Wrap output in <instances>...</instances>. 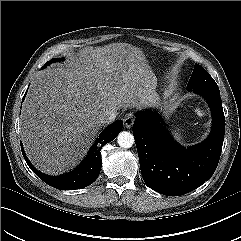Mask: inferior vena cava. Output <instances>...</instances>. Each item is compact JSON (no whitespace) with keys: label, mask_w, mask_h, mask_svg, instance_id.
<instances>
[{"label":"inferior vena cava","mask_w":241,"mask_h":241,"mask_svg":"<svg viewBox=\"0 0 241 241\" xmlns=\"http://www.w3.org/2000/svg\"><path fill=\"white\" fill-rule=\"evenodd\" d=\"M116 116H117L116 111H109V112H106L104 115H102L99 118V120L102 124H109L115 120Z\"/></svg>","instance_id":"602c4592"}]
</instances>
